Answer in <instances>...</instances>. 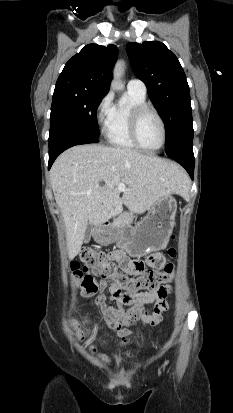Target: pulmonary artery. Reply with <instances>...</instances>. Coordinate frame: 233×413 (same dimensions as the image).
<instances>
[{"label": "pulmonary artery", "instance_id": "pulmonary-artery-1", "mask_svg": "<svg viewBox=\"0 0 233 413\" xmlns=\"http://www.w3.org/2000/svg\"><path fill=\"white\" fill-rule=\"evenodd\" d=\"M127 89L145 95L147 92L146 85L144 84V82L137 78H132L128 81Z\"/></svg>", "mask_w": 233, "mask_h": 413}]
</instances>
